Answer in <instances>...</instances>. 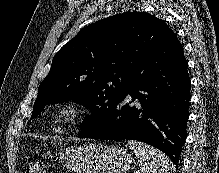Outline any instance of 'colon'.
Returning <instances> with one entry per match:
<instances>
[{"instance_id": "colon-1", "label": "colon", "mask_w": 219, "mask_h": 173, "mask_svg": "<svg viewBox=\"0 0 219 173\" xmlns=\"http://www.w3.org/2000/svg\"><path fill=\"white\" fill-rule=\"evenodd\" d=\"M29 173H45L44 164L41 161H33L30 164Z\"/></svg>"}]
</instances>
